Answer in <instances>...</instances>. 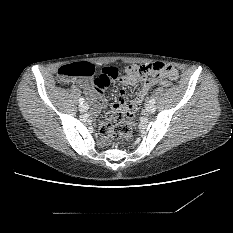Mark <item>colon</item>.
Here are the masks:
<instances>
[{
	"label": "colon",
	"mask_w": 233,
	"mask_h": 233,
	"mask_svg": "<svg viewBox=\"0 0 233 233\" xmlns=\"http://www.w3.org/2000/svg\"><path fill=\"white\" fill-rule=\"evenodd\" d=\"M103 70V69H102ZM102 70L97 71L93 63L89 61L75 62L62 66L57 71V80L66 83L72 78H92L98 83ZM158 73L171 75L173 67L169 64L157 62L152 65L131 64L126 67L125 74L134 79L150 82ZM135 109L127 107L125 111L109 112L104 120L99 123V133L102 137L121 138L127 140L131 137L132 127L128 121L134 115ZM113 121L115 125L110 122Z\"/></svg>",
	"instance_id": "colon-1"
}]
</instances>
